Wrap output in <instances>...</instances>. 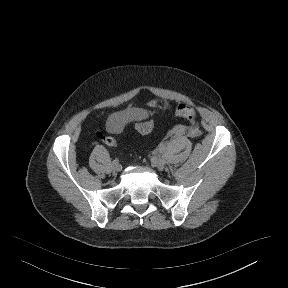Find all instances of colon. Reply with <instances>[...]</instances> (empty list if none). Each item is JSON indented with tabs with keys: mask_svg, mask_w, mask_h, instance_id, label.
Instances as JSON below:
<instances>
[{
	"mask_svg": "<svg viewBox=\"0 0 288 288\" xmlns=\"http://www.w3.org/2000/svg\"><path fill=\"white\" fill-rule=\"evenodd\" d=\"M176 116L188 120L190 123L194 124L196 122V111L192 106L186 104H180L175 110ZM152 122H141L136 125V130L139 133H148L152 129ZM97 141L108 147H115L117 141L114 137L110 135H105L102 132H95Z\"/></svg>",
	"mask_w": 288,
	"mask_h": 288,
	"instance_id": "obj_1",
	"label": "colon"
}]
</instances>
